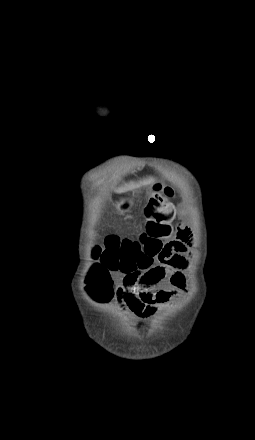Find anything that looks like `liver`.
Listing matches in <instances>:
<instances>
[{"instance_id": "liver-1", "label": "liver", "mask_w": 255, "mask_h": 440, "mask_svg": "<svg viewBox=\"0 0 255 440\" xmlns=\"http://www.w3.org/2000/svg\"><path fill=\"white\" fill-rule=\"evenodd\" d=\"M153 182H154L153 178H149V179L143 181L142 183H133V182H131V183L125 185L124 187L118 189L117 192L118 193L126 192V191H129V190L135 189V188L139 187L140 185L151 184Z\"/></svg>"}]
</instances>
